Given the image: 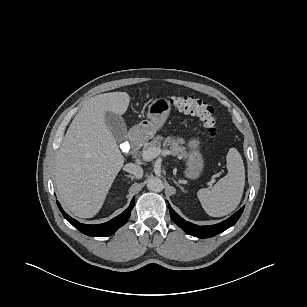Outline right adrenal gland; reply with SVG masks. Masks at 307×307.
<instances>
[{
  "label": "right adrenal gland",
  "mask_w": 307,
  "mask_h": 307,
  "mask_svg": "<svg viewBox=\"0 0 307 307\" xmlns=\"http://www.w3.org/2000/svg\"><path fill=\"white\" fill-rule=\"evenodd\" d=\"M125 176L128 177V178H131V180L135 179V176H132V175H130V174L125 175Z\"/></svg>",
  "instance_id": "1"
}]
</instances>
